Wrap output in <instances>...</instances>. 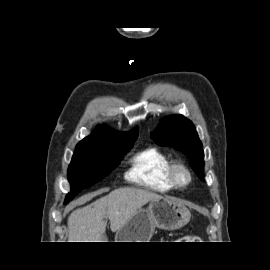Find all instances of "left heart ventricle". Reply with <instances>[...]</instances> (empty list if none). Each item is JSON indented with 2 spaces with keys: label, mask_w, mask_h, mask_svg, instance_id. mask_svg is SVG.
Listing matches in <instances>:
<instances>
[{
  "label": "left heart ventricle",
  "mask_w": 270,
  "mask_h": 270,
  "mask_svg": "<svg viewBox=\"0 0 270 270\" xmlns=\"http://www.w3.org/2000/svg\"><path fill=\"white\" fill-rule=\"evenodd\" d=\"M179 178H180L181 181L186 180V176L183 173H180Z\"/></svg>",
  "instance_id": "b2bd125f"
}]
</instances>
